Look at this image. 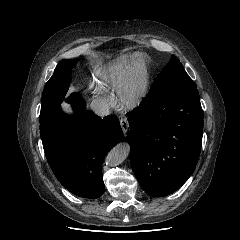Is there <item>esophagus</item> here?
Masks as SVG:
<instances>
[{"label":"esophagus","mask_w":240,"mask_h":240,"mask_svg":"<svg viewBox=\"0 0 240 240\" xmlns=\"http://www.w3.org/2000/svg\"><path fill=\"white\" fill-rule=\"evenodd\" d=\"M120 125H121V128L124 132V134L128 131V128H129V122H128V119L125 118V117H122L120 119Z\"/></svg>","instance_id":"1"}]
</instances>
